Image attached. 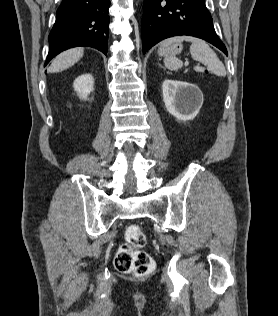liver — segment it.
Instances as JSON below:
<instances>
[{
	"label": "liver",
	"instance_id": "1",
	"mask_svg": "<svg viewBox=\"0 0 278 316\" xmlns=\"http://www.w3.org/2000/svg\"><path fill=\"white\" fill-rule=\"evenodd\" d=\"M84 54L82 47L69 49L59 54L51 63L48 68L49 73L61 72L73 66L78 62Z\"/></svg>",
	"mask_w": 278,
	"mask_h": 316
}]
</instances>
